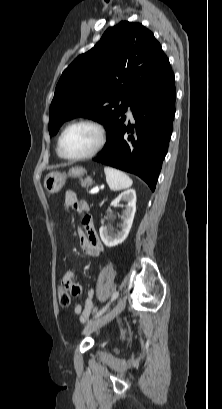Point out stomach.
<instances>
[{
    "label": "stomach",
    "instance_id": "stomach-1",
    "mask_svg": "<svg viewBox=\"0 0 222 409\" xmlns=\"http://www.w3.org/2000/svg\"><path fill=\"white\" fill-rule=\"evenodd\" d=\"M84 175L82 167H72L68 174L58 171H52L46 174L43 181V186L48 194H54L61 190L64 186L67 177L80 178Z\"/></svg>",
    "mask_w": 222,
    "mask_h": 409
}]
</instances>
